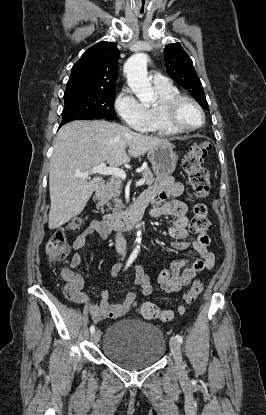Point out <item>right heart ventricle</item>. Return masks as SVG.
Instances as JSON below:
<instances>
[{
    "label": "right heart ventricle",
    "instance_id": "obj_1",
    "mask_svg": "<svg viewBox=\"0 0 266 415\" xmlns=\"http://www.w3.org/2000/svg\"><path fill=\"white\" fill-rule=\"evenodd\" d=\"M154 88L158 95V101L147 108L148 121L146 123V126L144 127V130L163 136L178 134L180 131L173 129L165 122L159 107V103L162 100L170 96L180 94L178 88L170 82L159 85L154 84Z\"/></svg>",
    "mask_w": 266,
    "mask_h": 415
}]
</instances>
